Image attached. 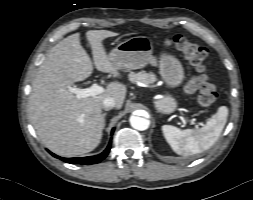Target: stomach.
I'll use <instances>...</instances> for the list:
<instances>
[{"instance_id":"0dacf381","label":"stomach","mask_w":253,"mask_h":200,"mask_svg":"<svg viewBox=\"0 0 253 200\" xmlns=\"http://www.w3.org/2000/svg\"><path fill=\"white\" fill-rule=\"evenodd\" d=\"M153 44L145 36L122 41L109 53V60L119 69L135 70L145 67L152 58ZM159 73L167 85L176 87L184 79L181 62L173 55L163 53L159 60ZM156 109L164 114L175 111L177 103L169 94L155 101Z\"/></svg>"}]
</instances>
